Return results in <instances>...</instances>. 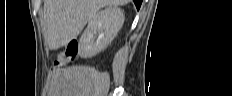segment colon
Returning <instances> with one entry per match:
<instances>
[{
	"mask_svg": "<svg viewBox=\"0 0 232 96\" xmlns=\"http://www.w3.org/2000/svg\"><path fill=\"white\" fill-rule=\"evenodd\" d=\"M78 44L76 41L69 42L64 50L58 54L56 64L61 66L77 58Z\"/></svg>",
	"mask_w": 232,
	"mask_h": 96,
	"instance_id": "colon-1",
	"label": "colon"
}]
</instances>
